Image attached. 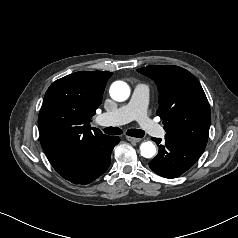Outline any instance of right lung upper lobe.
<instances>
[{"instance_id":"cb5924a9","label":"right lung upper lobe","mask_w":238,"mask_h":238,"mask_svg":"<svg viewBox=\"0 0 238 238\" xmlns=\"http://www.w3.org/2000/svg\"><path fill=\"white\" fill-rule=\"evenodd\" d=\"M113 73L80 71L53 82L45 93L38 126L41 146L53 167L70 161L104 134L90 126Z\"/></svg>"}]
</instances>
